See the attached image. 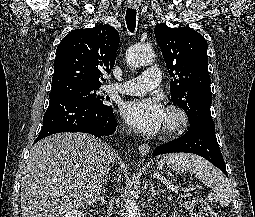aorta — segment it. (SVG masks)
<instances>
[{
	"label": "aorta",
	"instance_id": "obj_1",
	"mask_svg": "<svg viewBox=\"0 0 255 217\" xmlns=\"http://www.w3.org/2000/svg\"><path fill=\"white\" fill-rule=\"evenodd\" d=\"M154 51L149 47L131 46L126 51V62L129 67L136 68L151 64L154 61ZM124 217H140V210L136 200L129 196L124 203Z\"/></svg>",
	"mask_w": 255,
	"mask_h": 217
}]
</instances>
